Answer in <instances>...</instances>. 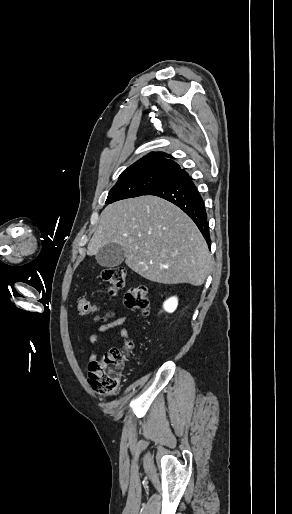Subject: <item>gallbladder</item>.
I'll return each instance as SVG.
<instances>
[{
	"instance_id": "1",
	"label": "gallbladder",
	"mask_w": 292,
	"mask_h": 514,
	"mask_svg": "<svg viewBox=\"0 0 292 514\" xmlns=\"http://www.w3.org/2000/svg\"><path fill=\"white\" fill-rule=\"evenodd\" d=\"M124 250L120 244H105L99 248L96 254V260L103 268H115L122 264L124 260Z\"/></svg>"
}]
</instances>
